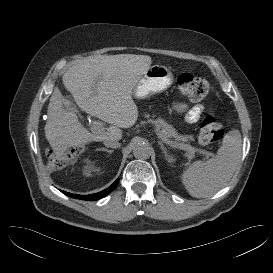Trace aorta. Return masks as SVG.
Wrapping results in <instances>:
<instances>
[{
	"mask_svg": "<svg viewBox=\"0 0 273 273\" xmlns=\"http://www.w3.org/2000/svg\"><path fill=\"white\" fill-rule=\"evenodd\" d=\"M133 155L137 159H148L151 155V147L146 143H137L133 148Z\"/></svg>",
	"mask_w": 273,
	"mask_h": 273,
	"instance_id": "1",
	"label": "aorta"
}]
</instances>
